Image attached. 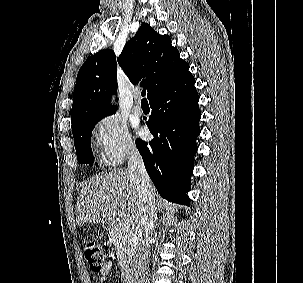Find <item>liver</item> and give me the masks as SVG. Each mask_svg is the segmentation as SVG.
I'll list each match as a JSON object with an SVG mask.
<instances>
[{"mask_svg": "<svg viewBox=\"0 0 303 283\" xmlns=\"http://www.w3.org/2000/svg\"><path fill=\"white\" fill-rule=\"evenodd\" d=\"M155 198V191L152 188ZM137 187L128 169H117L90 178L80 191L77 200L78 226L112 219L116 209L122 210L123 221L128 226L137 224L140 218Z\"/></svg>", "mask_w": 303, "mask_h": 283, "instance_id": "6515ba94", "label": "liver"}]
</instances>
